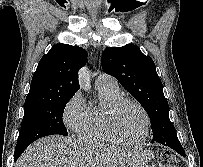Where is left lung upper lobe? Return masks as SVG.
<instances>
[{
  "mask_svg": "<svg viewBox=\"0 0 203 167\" xmlns=\"http://www.w3.org/2000/svg\"><path fill=\"white\" fill-rule=\"evenodd\" d=\"M101 65L145 109L151 120L152 141L160 143L163 138L177 137L169 119V106L162 83L151 57L144 55L136 45L108 47L103 51Z\"/></svg>",
  "mask_w": 203,
  "mask_h": 167,
  "instance_id": "5c2ea615",
  "label": "left lung upper lobe"
}]
</instances>
